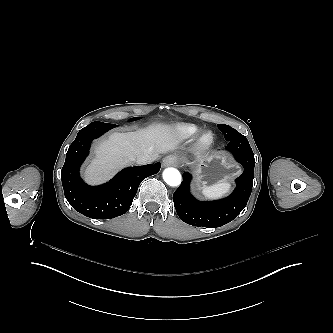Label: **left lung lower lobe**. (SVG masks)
<instances>
[{
  "label": "left lung lower lobe",
  "mask_w": 333,
  "mask_h": 333,
  "mask_svg": "<svg viewBox=\"0 0 333 333\" xmlns=\"http://www.w3.org/2000/svg\"><path fill=\"white\" fill-rule=\"evenodd\" d=\"M226 149L243 165L244 172L235 180L233 193L221 200L201 202L189 191L191 174H183V182L173 194L178 216L187 224L202 227H220L232 221L246 206L253 186L255 159L245 136L239 132L225 138Z\"/></svg>",
  "instance_id": "left-lung-lower-lobe-1"
}]
</instances>
